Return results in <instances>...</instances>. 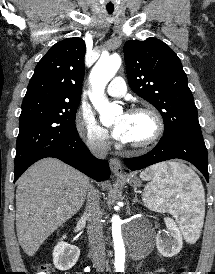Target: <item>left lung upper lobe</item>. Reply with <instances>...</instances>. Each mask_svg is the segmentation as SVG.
Returning a JSON list of instances; mask_svg holds the SVG:
<instances>
[{"mask_svg": "<svg viewBox=\"0 0 215 274\" xmlns=\"http://www.w3.org/2000/svg\"><path fill=\"white\" fill-rule=\"evenodd\" d=\"M124 56L131 89L159 110L164 135L202 136L187 76L175 52L161 40L148 38L127 41Z\"/></svg>", "mask_w": 215, "mask_h": 274, "instance_id": "1", "label": "left lung upper lobe"}]
</instances>
